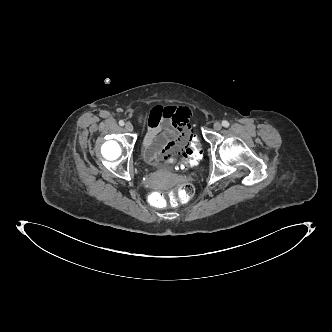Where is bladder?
<instances>
[{
  "label": "bladder",
  "instance_id": "31cf9c89",
  "mask_svg": "<svg viewBox=\"0 0 332 332\" xmlns=\"http://www.w3.org/2000/svg\"><path fill=\"white\" fill-rule=\"evenodd\" d=\"M143 159H144L146 164H148L150 166H153V167H159L164 162V161L158 162V161L151 160L146 156L145 153L143 154Z\"/></svg>",
  "mask_w": 332,
  "mask_h": 332
}]
</instances>
